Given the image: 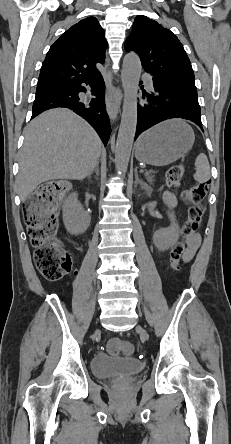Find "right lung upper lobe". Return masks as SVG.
<instances>
[{"label": "right lung upper lobe", "mask_w": 231, "mask_h": 444, "mask_svg": "<svg viewBox=\"0 0 231 444\" xmlns=\"http://www.w3.org/2000/svg\"><path fill=\"white\" fill-rule=\"evenodd\" d=\"M107 42L95 17L73 25L50 47L42 64L37 90L100 76Z\"/></svg>", "instance_id": "cb5924a9"}]
</instances>
